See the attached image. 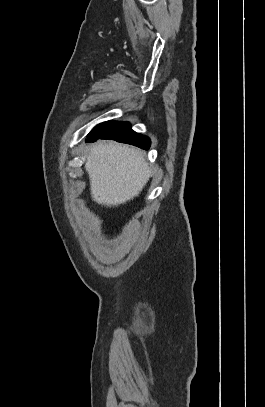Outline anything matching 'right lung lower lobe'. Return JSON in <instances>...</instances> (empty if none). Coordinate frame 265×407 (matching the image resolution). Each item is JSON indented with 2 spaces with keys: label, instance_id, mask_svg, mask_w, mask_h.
Returning a JSON list of instances; mask_svg holds the SVG:
<instances>
[{
  "label": "right lung lower lobe",
  "instance_id": "right-lung-lower-lobe-1",
  "mask_svg": "<svg viewBox=\"0 0 265 407\" xmlns=\"http://www.w3.org/2000/svg\"><path fill=\"white\" fill-rule=\"evenodd\" d=\"M99 138L116 140L118 142L135 145L142 149H149L150 146V139L134 132L128 122H119L104 133L88 137V140L94 142Z\"/></svg>",
  "mask_w": 265,
  "mask_h": 407
}]
</instances>
